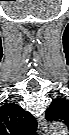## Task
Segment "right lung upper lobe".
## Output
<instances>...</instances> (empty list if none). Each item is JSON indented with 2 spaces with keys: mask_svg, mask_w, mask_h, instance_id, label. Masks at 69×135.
I'll return each mask as SVG.
<instances>
[{
  "mask_svg": "<svg viewBox=\"0 0 69 135\" xmlns=\"http://www.w3.org/2000/svg\"><path fill=\"white\" fill-rule=\"evenodd\" d=\"M0 125L3 135H26L37 129L36 119L15 103L0 107Z\"/></svg>",
  "mask_w": 69,
  "mask_h": 135,
  "instance_id": "1",
  "label": "right lung upper lobe"
}]
</instances>
